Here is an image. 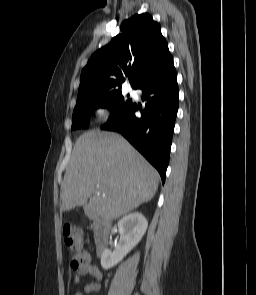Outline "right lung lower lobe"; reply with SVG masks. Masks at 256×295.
<instances>
[{"label":"right lung lower lobe","mask_w":256,"mask_h":295,"mask_svg":"<svg viewBox=\"0 0 256 295\" xmlns=\"http://www.w3.org/2000/svg\"><path fill=\"white\" fill-rule=\"evenodd\" d=\"M135 89H141L142 100L147 101L141 117L135 116L138 107L132 103L122 114L110 117L101 129L121 133L158 170L164 183L179 95L172 56Z\"/></svg>","instance_id":"obj_1"}]
</instances>
